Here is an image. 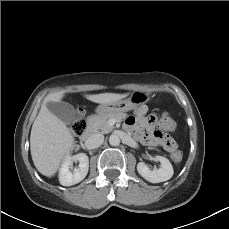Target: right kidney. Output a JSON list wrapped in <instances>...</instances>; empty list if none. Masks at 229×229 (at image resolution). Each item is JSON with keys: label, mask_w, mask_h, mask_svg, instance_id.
<instances>
[{"label": "right kidney", "mask_w": 229, "mask_h": 229, "mask_svg": "<svg viewBox=\"0 0 229 229\" xmlns=\"http://www.w3.org/2000/svg\"><path fill=\"white\" fill-rule=\"evenodd\" d=\"M78 161V168H74L73 162ZM89 169V158L85 153H79L73 157L67 156L59 170V181L63 186H72L81 182L87 175Z\"/></svg>", "instance_id": "ca27d5eb"}]
</instances>
